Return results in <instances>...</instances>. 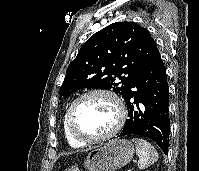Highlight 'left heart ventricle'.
Wrapping results in <instances>:
<instances>
[{"label":"left heart ventricle","instance_id":"left-heart-ventricle-1","mask_svg":"<svg viewBox=\"0 0 199 171\" xmlns=\"http://www.w3.org/2000/svg\"><path fill=\"white\" fill-rule=\"evenodd\" d=\"M117 121V111L111 99L93 95L79 102L74 125L84 136L97 137L109 132Z\"/></svg>","mask_w":199,"mask_h":171}]
</instances>
